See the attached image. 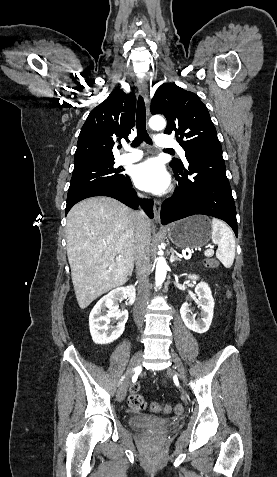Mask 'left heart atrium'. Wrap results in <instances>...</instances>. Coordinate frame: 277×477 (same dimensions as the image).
Wrapping results in <instances>:
<instances>
[{"mask_svg":"<svg viewBox=\"0 0 277 477\" xmlns=\"http://www.w3.org/2000/svg\"><path fill=\"white\" fill-rule=\"evenodd\" d=\"M132 177L141 190L161 193L170 183L164 166L156 159H149L134 167Z\"/></svg>","mask_w":277,"mask_h":477,"instance_id":"left-heart-atrium-1","label":"left heart atrium"}]
</instances>
